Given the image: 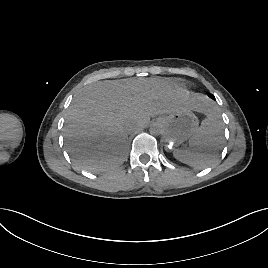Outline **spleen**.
<instances>
[{"label": "spleen", "instance_id": "spleen-1", "mask_svg": "<svg viewBox=\"0 0 268 268\" xmlns=\"http://www.w3.org/2000/svg\"><path fill=\"white\" fill-rule=\"evenodd\" d=\"M222 132V122L214 111H210L189 139L190 149L175 150L173 155L191 167L204 169L215 161L220 151L223 142Z\"/></svg>", "mask_w": 268, "mask_h": 268}]
</instances>
